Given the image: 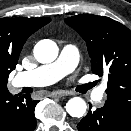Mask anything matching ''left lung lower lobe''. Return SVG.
Here are the masks:
<instances>
[{"label":"left lung lower lobe","mask_w":131,"mask_h":131,"mask_svg":"<svg viewBox=\"0 0 131 131\" xmlns=\"http://www.w3.org/2000/svg\"><path fill=\"white\" fill-rule=\"evenodd\" d=\"M91 108L77 124L78 131H131V111L108 101L96 111Z\"/></svg>","instance_id":"obj_1"}]
</instances>
